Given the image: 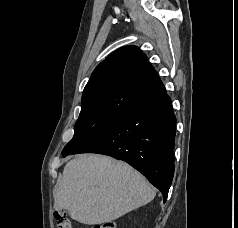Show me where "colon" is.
Listing matches in <instances>:
<instances>
[{"label": "colon", "mask_w": 238, "mask_h": 228, "mask_svg": "<svg viewBox=\"0 0 238 228\" xmlns=\"http://www.w3.org/2000/svg\"><path fill=\"white\" fill-rule=\"evenodd\" d=\"M55 220H56V228H73L71 220L67 217L65 212L63 211H57L54 214ZM91 228H116L115 224L111 221L104 222L101 224H96L92 226Z\"/></svg>", "instance_id": "colon-1"}]
</instances>
